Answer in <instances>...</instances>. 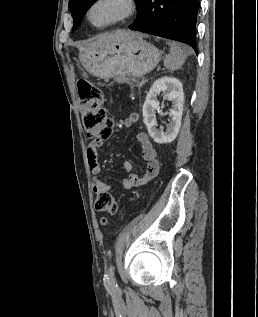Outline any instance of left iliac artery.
<instances>
[{"label": "left iliac artery", "instance_id": "left-iliac-artery-1", "mask_svg": "<svg viewBox=\"0 0 258 317\" xmlns=\"http://www.w3.org/2000/svg\"><path fill=\"white\" fill-rule=\"evenodd\" d=\"M114 269H115L114 265L111 263L110 267H109V274H110L111 283H110V287H108V289H107L108 293H110V294H116V293L121 292V290L117 284Z\"/></svg>", "mask_w": 258, "mask_h": 317}]
</instances>
